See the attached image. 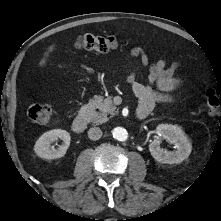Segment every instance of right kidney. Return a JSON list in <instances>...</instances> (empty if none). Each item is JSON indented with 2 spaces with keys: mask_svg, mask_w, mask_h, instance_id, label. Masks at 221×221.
<instances>
[{
  "mask_svg": "<svg viewBox=\"0 0 221 221\" xmlns=\"http://www.w3.org/2000/svg\"><path fill=\"white\" fill-rule=\"evenodd\" d=\"M61 139L63 144L57 149L51 147V143ZM70 134L61 129H54L45 132L37 141L34 146L35 153L43 159H57L66 154L70 145Z\"/></svg>",
  "mask_w": 221,
  "mask_h": 221,
  "instance_id": "right-kidney-1",
  "label": "right kidney"
}]
</instances>
